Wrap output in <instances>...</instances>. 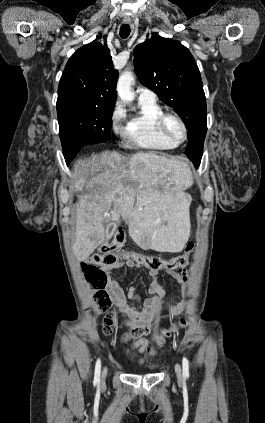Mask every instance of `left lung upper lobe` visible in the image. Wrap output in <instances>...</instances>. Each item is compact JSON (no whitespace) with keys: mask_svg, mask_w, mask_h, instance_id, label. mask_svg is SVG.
I'll list each match as a JSON object with an SVG mask.
<instances>
[{"mask_svg":"<svg viewBox=\"0 0 265 423\" xmlns=\"http://www.w3.org/2000/svg\"><path fill=\"white\" fill-rule=\"evenodd\" d=\"M133 55L141 84L182 118L188 129L185 153L198 166L207 132V112L201 75L193 56L178 41L159 35L137 45Z\"/></svg>","mask_w":265,"mask_h":423,"instance_id":"left-lung-upper-lobe-1","label":"left lung upper lobe"}]
</instances>
